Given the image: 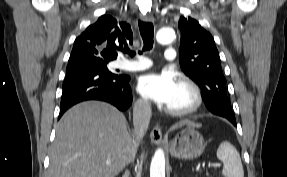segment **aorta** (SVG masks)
<instances>
[{
    "instance_id": "1",
    "label": "aorta",
    "mask_w": 287,
    "mask_h": 177,
    "mask_svg": "<svg viewBox=\"0 0 287 177\" xmlns=\"http://www.w3.org/2000/svg\"><path fill=\"white\" fill-rule=\"evenodd\" d=\"M175 38V32L170 28H162L157 32L156 40L160 44L171 43ZM150 177H165V154L159 148L152 157L150 165Z\"/></svg>"
}]
</instances>
